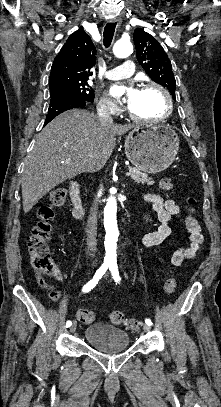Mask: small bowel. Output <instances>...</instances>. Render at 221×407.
Here are the masks:
<instances>
[{"label": "small bowel", "instance_id": "small-bowel-1", "mask_svg": "<svg viewBox=\"0 0 221 407\" xmlns=\"http://www.w3.org/2000/svg\"><path fill=\"white\" fill-rule=\"evenodd\" d=\"M144 199L151 204L156 218L160 222L159 227L155 231L144 236V246L147 248H154L168 239L176 241V237L172 233L170 222L172 219H177L181 216L180 208L177 203L172 199L164 200L158 194H147ZM183 220L190 234L191 245L188 249L183 247L178 248L174 253L173 263H177V258L185 259L192 257L203 242V234L196 219L191 215H186ZM180 263L181 261L178 262V265ZM55 278L61 281L64 280L66 276L57 269ZM38 283L49 298L54 301H57L60 298L59 292L40 276L38 277Z\"/></svg>", "mask_w": 221, "mask_h": 407}]
</instances>
